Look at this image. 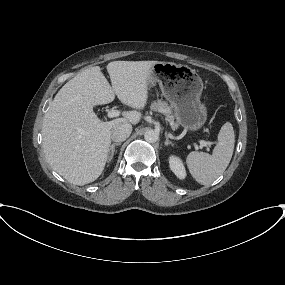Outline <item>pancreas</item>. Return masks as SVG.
Here are the masks:
<instances>
[{"label":"pancreas","mask_w":285,"mask_h":285,"mask_svg":"<svg viewBox=\"0 0 285 285\" xmlns=\"http://www.w3.org/2000/svg\"><path fill=\"white\" fill-rule=\"evenodd\" d=\"M151 110L160 112L165 115V120L170 123L173 130L177 129L178 124L174 122V116L172 115V109L167 102L158 100L153 102L150 106Z\"/></svg>","instance_id":"pancreas-1"}]
</instances>
